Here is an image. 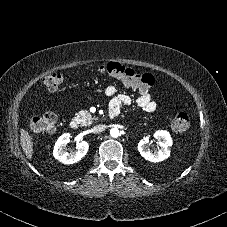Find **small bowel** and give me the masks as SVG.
<instances>
[{
  "mask_svg": "<svg viewBox=\"0 0 227 227\" xmlns=\"http://www.w3.org/2000/svg\"><path fill=\"white\" fill-rule=\"evenodd\" d=\"M105 94L108 97H112L110 104V109H114L119 112L120 108L123 105H129L131 99L127 95H117V90L114 86H108L105 89ZM137 104L140 108L148 113H152L157 109V103L152 99L151 95L148 92H141L137 98Z\"/></svg>",
  "mask_w": 227,
  "mask_h": 227,
  "instance_id": "c3829d8e",
  "label": "small bowel"
}]
</instances>
